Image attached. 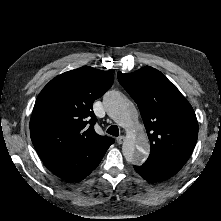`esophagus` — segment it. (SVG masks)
<instances>
[{"mask_svg":"<svg viewBox=\"0 0 221 221\" xmlns=\"http://www.w3.org/2000/svg\"><path fill=\"white\" fill-rule=\"evenodd\" d=\"M124 140H125V137H124V136H120V137H118V138L116 139V141H117L118 144H122V143L124 142Z\"/></svg>","mask_w":221,"mask_h":221,"instance_id":"1","label":"esophagus"}]
</instances>
